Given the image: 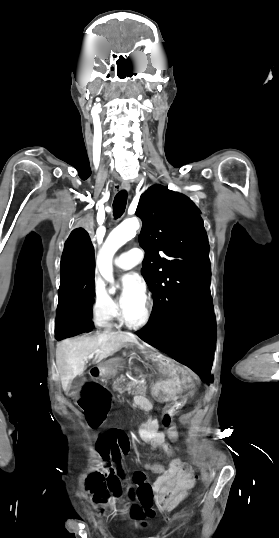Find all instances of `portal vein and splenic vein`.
Returning a JSON list of instances; mask_svg holds the SVG:
<instances>
[{"mask_svg":"<svg viewBox=\"0 0 279 538\" xmlns=\"http://www.w3.org/2000/svg\"><path fill=\"white\" fill-rule=\"evenodd\" d=\"M94 354H91V356H88V358H93Z\"/></svg>","mask_w":279,"mask_h":538,"instance_id":"obj_1","label":"portal vein and splenic vein"}]
</instances>
